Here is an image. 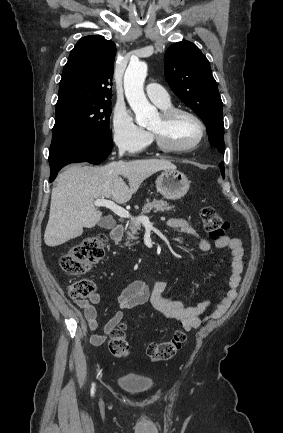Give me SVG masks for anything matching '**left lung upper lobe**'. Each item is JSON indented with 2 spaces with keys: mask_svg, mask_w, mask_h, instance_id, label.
Wrapping results in <instances>:
<instances>
[{
  "mask_svg": "<svg viewBox=\"0 0 283 433\" xmlns=\"http://www.w3.org/2000/svg\"><path fill=\"white\" fill-rule=\"evenodd\" d=\"M166 80L205 123L209 141L224 153L222 100L207 58L189 41L172 44L164 56Z\"/></svg>",
  "mask_w": 283,
  "mask_h": 433,
  "instance_id": "1",
  "label": "left lung upper lobe"
}]
</instances>
